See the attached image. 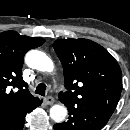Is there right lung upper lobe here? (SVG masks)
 <instances>
[{"instance_id": "right-lung-upper-lobe-1", "label": "right lung upper lobe", "mask_w": 130, "mask_h": 130, "mask_svg": "<svg viewBox=\"0 0 130 130\" xmlns=\"http://www.w3.org/2000/svg\"><path fill=\"white\" fill-rule=\"evenodd\" d=\"M44 42L15 31L0 33V119L20 114L39 101L30 94L21 71L25 53Z\"/></svg>"}]
</instances>
